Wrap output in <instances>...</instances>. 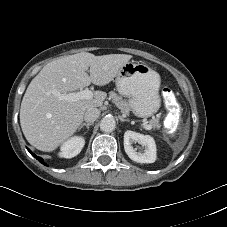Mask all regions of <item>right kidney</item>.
<instances>
[{
    "label": "right kidney",
    "mask_w": 227,
    "mask_h": 227,
    "mask_svg": "<svg viewBox=\"0 0 227 227\" xmlns=\"http://www.w3.org/2000/svg\"><path fill=\"white\" fill-rule=\"evenodd\" d=\"M84 144L85 140L83 137L73 136L61 145L59 156L63 158H73L81 152Z\"/></svg>",
    "instance_id": "1"
}]
</instances>
